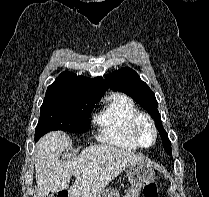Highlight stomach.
Returning <instances> with one entry per match:
<instances>
[{"instance_id":"0dacf381","label":"stomach","mask_w":209,"mask_h":197,"mask_svg":"<svg viewBox=\"0 0 209 197\" xmlns=\"http://www.w3.org/2000/svg\"><path fill=\"white\" fill-rule=\"evenodd\" d=\"M130 188L124 197H138L142 187L150 184L155 179L153 167L146 161L130 165L127 169ZM95 197H120L119 193L112 188L103 189Z\"/></svg>"}]
</instances>
